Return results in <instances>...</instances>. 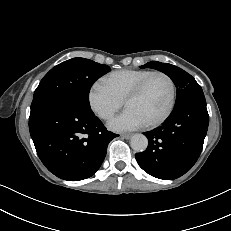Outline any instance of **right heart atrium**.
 I'll use <instances>...</instances> for the list:
<instances>
[{"label": "right heart atrium", "instance_id": "right-heart-atrium-1", "mask_svg": "<svg viewBox=\"0 0 231 231\" xmlns=\"http://www.w3.org/2000/svg\"><path fill=\"white\" fill-rule=\"evenodd\" d=\"M88 102L92 111L103 120L111 119L123 106V101L103 81L92 84L88 93Z\"/></svg>", "mask_w": 231, "mask_h": 231}]
</instances>
